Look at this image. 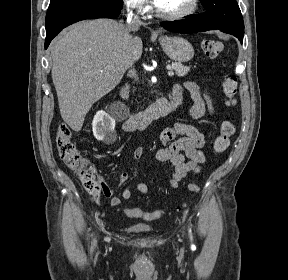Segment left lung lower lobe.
<instances>
[{"mask_svg":"<svg viewBox=\"0 0 288 280\" xmlns=\"http://www.w3.org/2000/svg\"><path fill=\"white\" fill-rule=\"evenodd\" d=\"M161 25L170 31L179 33H196L200 31L208 30H220L224 33L231 34L237 37L241 43H243L244 34H239L227 27L220 26L218 23L209 20L203 14H193L192 16L178 21H165Z\"/></svg>","mask_w":288,"mask_h":280,"instance_id":"left-lung-lower-lobe-1","label":"left lung lower lobe"}]
</instances>
